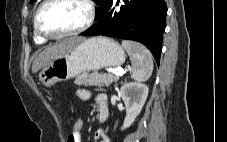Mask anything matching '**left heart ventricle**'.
Masks as SVG:
<instances>
[{
    "instance_id": "obj_1",
    "label": "left heart ventricle",
    "mask_w": 227,
    "mask_h": 142,
    "mask_svg": "<svg viewBox=\"0 0 227 142\" xmlns=\"http://www.w3.org/2000/svg\"><path fill=\"white\" fill-rule=\"evenodd\" d=\"M87 18V8L80 0H56L41 13V27L47 33L59 34L80 27Z\"/></svg>"
}]
</instances>
